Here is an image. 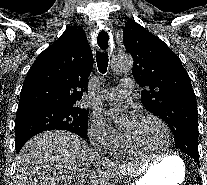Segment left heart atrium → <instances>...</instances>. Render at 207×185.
I'll return each instance as SVG.
<instances>
[{
    "mask_svg": "<svg viewBox=\"0 0 207 185\" xmlns=\"http://www.w3.org/2000/svg\"><path fill=\"white\" fill-rule=\"evenodd\" d=\"M138 119L137 118H132V120L130 121L131 124L135 123Z\"/></svg>",
    "mask_w": 207,
    "mask_h": 185,
    "instance_id": "39dd6f15",
    "label": "left heart atrium"
}]
</instances>
